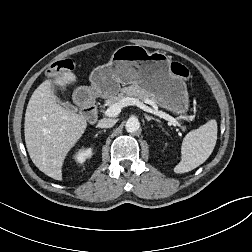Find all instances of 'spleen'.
Listing matches in <instances>:
<instances>
[{
	"instance_id": "3e777b00",
	"label": "spleen",
	"mask_w": 252,
	"mask_h": 252,
	"mask_svg": "<svg viewBox=\"0 0 252 252\" xmlns=\"http://www.w3.org/2000/svg\"><path fill=\"white\" fill-rule=\"evenodd\" d=\"M217 141V122L212 119L183 139L181 161L175 166V173L189 172L203 164L211 155Z\"/></svg>"
}]
</instances>
